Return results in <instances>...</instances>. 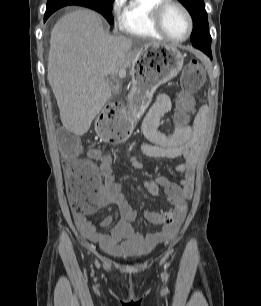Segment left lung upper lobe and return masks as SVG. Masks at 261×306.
<instances>
[{
  "label": "left lung upper lobe",
  "instance_id": "5c2ea615",
  "mask_svg": "<svg viewBox=\"0 0 261 306\" xmlns=\"http://www.w3.org/2000/svg\"><path fill=\"white\" fill-rule=\"evenodd\" d=\"M189 11L193 19V31L190 37L192 45L211 56V36L208 32V17L204 0H179Z\"/></svg>",
  "mask_w": 261,
  "mask_h": 306
}]
</instances>
